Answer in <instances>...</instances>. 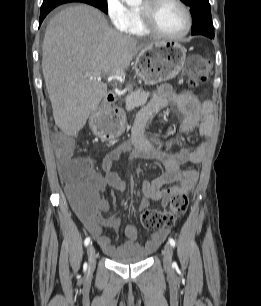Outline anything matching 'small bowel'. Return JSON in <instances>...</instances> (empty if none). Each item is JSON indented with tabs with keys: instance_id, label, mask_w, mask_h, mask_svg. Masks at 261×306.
<instances>
[{
	"instance_id": "obj_1",
	"label": "small bowel",
	"mask_w": 261,
	"mask_h": 306,
	"mask_svg": "<svg viewBox=\"0 0 261 306\" xmlns=\"http://www.w3.org/2000/svg\"><path fill=\"white\" fill-rule=\"evenodd\" d=\"M171 108L173 113L180 112L184 115L178 132L168 138L163 139L156 135L147 136L146 125L158 111ZM213 122L212 104L201 102L197 95L192 92H175L168 84L160 86L151 100L138 112L133 129L131 141L118 144L102 159V173L95 169L94 163L89 158H83L89 166L90 173L88 182L93 190V197L83 206L79 219L100 245L104 253L110 257H119L124 254L151 253L153 252L169 234L168 229L154 233L145 245L138 243L137 229L132 225L125 228L126 242L119 247L111 243L110 237L105 234L104 229H116L120 224V219L111 215L103 216L109 210V203L103 193L112 188L122 192L125 189V182L114 165L120 158L129 154L130 162L139 160H158L165 172L153 180H144L141 184L143 200L140 208L145 210L149 207V201H158L162 206H166L171 198L176 194L189 193L198 178L197 169H182L185 163H201L207 152V133L211 129ZM201 127L203 138L193 149L181 147L176 153H167L160 148L169 149L179 143L180 136L190 132L196 127ZM73 158V157H71ZM76 159V158H73ZM67 162V159L59 158V168ZM178 184L163 189L162 186L168 183Z\"/></svg>"
}]
</instances>
